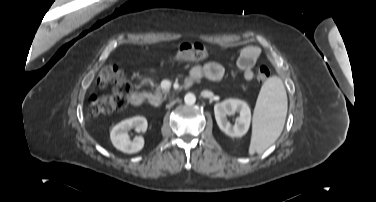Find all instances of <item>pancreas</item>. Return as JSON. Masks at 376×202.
<instances>
[{"instance_id":"obj_1","label":"pancreas","mask_w":376,"mask_h":202,"mask_svg":"<svg viewBox=\"0 0 376 202\" xmlns=\"http://www.w3.org/2000/svg\"><path fill=\"white\" fill-rule=\"evenodd\" d=\"M168 94L167 90L157 87L153 94H148L147 98L152 105H159L163 101L164 97Z\"/></svg>"}]
</instances>
